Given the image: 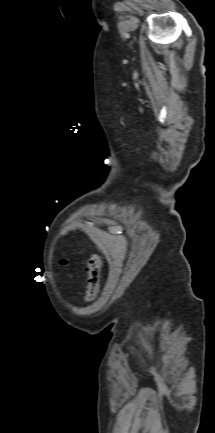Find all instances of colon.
Wrapping results in <instances>:
<instances>
[{
	"label": "colon",
	"mask_w": 215,
	"mask_h": 433,
	"mask_svg": "<svg viewBox=\"0 0 215 433\" xmlns=\"http://www.w3.org/2000/svg\"><path fill=\"white\" fill-rule=\"evenodd\" d=\"M87 289L85 300L91 302L95 299L99 289L100 281V258L98 254H92L88 260L87 268Z\"/></svg>",
	"instance_id": "5ec220e1"
}]
</instances>
